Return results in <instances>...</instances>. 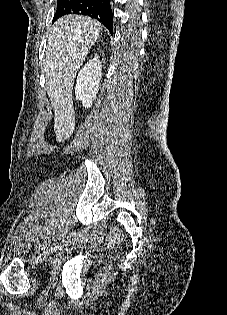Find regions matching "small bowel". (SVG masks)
I'll return each mask as SVG.
<instances>
[{"label": "small bowel", "instance_id": "c3829d8e", "mask_svg": "<svg viewBox=\"0 0 227 315\" xmlns=\"http://www.w3.org/2000/svg\"><path fill=\"white\" fill-rule=\"evenodd\" d=\"M117 231L114 230L108 237L109 243H114L116 241Z\"/></svg>", "mask_w": 227, "mask_h": 315}]
</instances>
